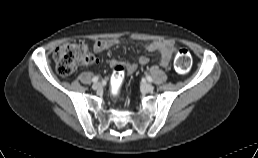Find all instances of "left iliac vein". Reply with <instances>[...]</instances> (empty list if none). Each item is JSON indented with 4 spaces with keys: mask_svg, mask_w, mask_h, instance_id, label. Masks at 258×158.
<instances>
[{
    "mask_svg": "<svg viewBox=\"0 0 258 158\" xmlns=\"http://www.w3.org/2000/svg\"><path fill=\"white\" fill-rule=\"evenodd\" d=\"M142 89L145 92L151 93L154 91V86L149 83H144V84H142Z\"/></svg>",
    "mask_w": 258,
    "mask_h": 158,
    "instance_id": "obj_1",
    "label": "left iliac vein"
}]
</instances>
